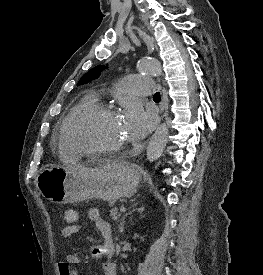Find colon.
Returning <instances> with one entry per match:
<instances>
[{
  "instance_id": "5ec220e1",
  "label": "colon",
  "mask_w": 263,
  "mask_h": 275,
  "mask_svg": "<svg viewBox=\"0 0 263 275\" xmlns=\"http://www.w3.org/2000/svg\"><path fill=\"white\" fill-rule=\"evenodd\" d=\"M63 218L68 224H75L78 221V213L76 210L72 208L65 209L63 212ZM67 273V267L62 264L61 275H65Z\"/></svg>"
}]
</instances>
